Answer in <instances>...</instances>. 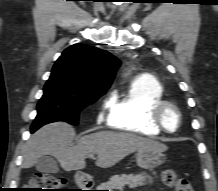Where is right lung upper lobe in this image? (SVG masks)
I'll return each instance as SVG.
<instances>
[{
  "label": "right lung upper lobe",
  "instance_id": "right-lung-upper-lobe-1",
  "mask_svg": "<svg viewBox=\"0 0 218 191\" xmlns=\"http://www.w3.org/2000/svg\"><path fill=\"white\" fill-rule=\"evenodd\" d=\"M120 61L105 50L89 45L74 44L58 58L52 74L85 92H106Z\"/></svg>",
  "mask_w": 218,
  "mask_h": 191
}]
</instances>
